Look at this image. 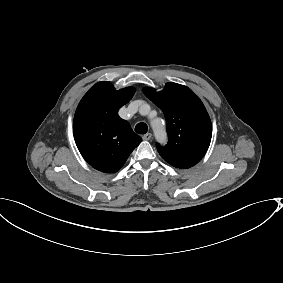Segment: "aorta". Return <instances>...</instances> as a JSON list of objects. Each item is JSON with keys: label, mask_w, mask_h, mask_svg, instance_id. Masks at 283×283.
<instances>
[{"label": "aorta", "mask_w": 283, "mask_h": 283, "mask_svg": "<svg viewBox=\"0 0 283 283\" xmlns=\"http://www.w3.org/2000/svg\"><path fill=\"white\" fill-rule=\"evenodd\" d=\"M152 127L154 130L155 137L160 142L166 141V131L163 126H159L157 121L152 122Z\"/></svg>", "instance_id": "1"}]
</instances>
